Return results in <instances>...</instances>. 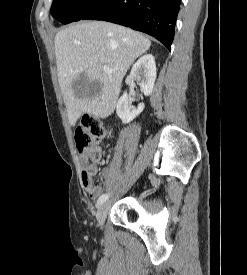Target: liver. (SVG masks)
I'll list each match as a JSON object with an SVG mask.
<instances>
[{
  "instance_id": "1",
  "label": "liver",
  "mask_w": 247,
  "mask_h": 275,
  "mask_svg": "<svg viewBox=\"0 0 247 275\" xmlns=\"http://www.w3.org/2000/svg\"><path fill=\"white\" fill-rule=\"evenodd\" d=\"M57 74L71 126L83 113L106 118L114 112L122 80L133 62L149 50L151 41L127 27L86 21L59 31L54 39ZM107 66L112 72H104ZM84 74L98 82L93 92L77 93L74 82Z\"/></svg>"
}]
</instances>
